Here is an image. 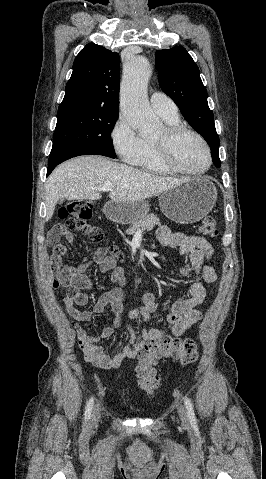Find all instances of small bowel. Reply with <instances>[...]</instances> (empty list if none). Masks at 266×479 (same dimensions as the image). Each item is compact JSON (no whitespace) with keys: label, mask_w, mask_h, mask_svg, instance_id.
Masks as SVG:
<instances>
[{"label":"small bowel","mask_w":266,"mask_h":479,"mask_svg":"<svg viewBox=\"0 0 266 479\" xmlns=\"http://www.w3.org/2000/svg\"><path fill=\"white\" fill-rule=\"evenodd\" d=\"M61 236L68 243L75 241V236L70 231H64ZM157 238L163 246L178 247L180 254L189 258L190 265L180 267L178 275L193 277L189 296L166 305L167 325L161 327H145L138 331L128 322L136 318H142L147 322L157 317L154 296L150 291H144L143 305L133 309L125 317L122 304L127 296L125 272L122 268L116 267L115 259L108 256L102 249L95 250L92 258L79 266L63 265L62 257L54 260V285L67 290L62 302L67 315L72 320L79 348L84 358L99 368H117L125 360L136 358L149 341L161 339L168 333L182 336L202 318V312L198 308L206 297L202 281L212 284L217 278L215 270L207 264L213 254L211 244L201 236L174 232L167 226H161L158 229ZM92 264H97L102 272H109L110 281L118 287L103 293L92 310H81L79 307L89 303L87 291L90 288V279L85 271ZM106 308L114 313L112 326L105 327L100 333H89L83 324L90 322L94 316L102 313ZM120 328L129 333L130 340L120 352L107 354L101 346V341L113 336Z\"/></svg>","instance_id":"obj_1"}]
</instances>
